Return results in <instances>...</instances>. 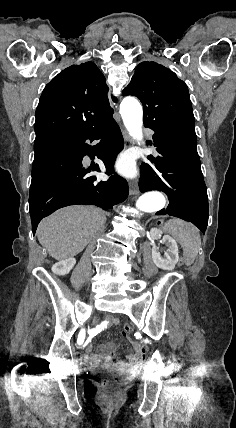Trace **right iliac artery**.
<instances>
[{
  "mask_svg": "<svg viewBox=\"0 0 236 428\" xmlns=\"http://www.w3.org/2000/svg\"><path fill=\"white\" fill-rule=\"evenodd\" d=\"M84 339H85V329H81V331H80V333L78 335V339H77L78 345L83 344Z\"/></svg>",
  "mask_w": 236,
  "mask_h": 428,
  "instance_id": "right-iliac-artery-1",
  "label": "right iliac artery"
}]
</instances>
